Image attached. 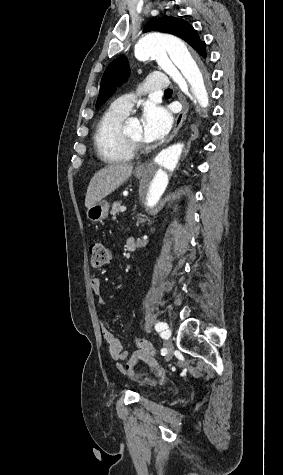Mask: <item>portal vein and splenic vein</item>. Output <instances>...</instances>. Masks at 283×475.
<instances>
[{"mask_svg":"<svg viewBox=\"0 0 283 475\" xmlns=\"http://www.w3.org/2000/svg\"><path fill=\"white\" fill-rule=\"evenodd\" d=\"M120 212H125L126 208L125 206H121V208H119Z\"/></svg>","mask_w":283,"mask_h":475,"instance_id":"18ae733b","label":"portal vein and splenic vein"}]
</instances>
